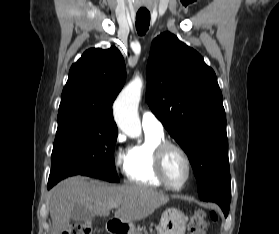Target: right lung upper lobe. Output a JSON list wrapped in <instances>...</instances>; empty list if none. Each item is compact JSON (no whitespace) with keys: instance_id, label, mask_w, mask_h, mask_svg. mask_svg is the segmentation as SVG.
Masks as SVG:
<instances>
[{"instance_id":"1","label":"right lung upper lobe","mask_w":279,"mask_h":234,"mask_svg":"<svg viewBox=\"0 0 279 234\" xmlns=\"http://www.w3.org/2000/svg\"><path fill=\"white\" fill-rule=\"evenodd\" d=\"M126 78L124 59L116 47L91 48L71 66L63 89L58 116L78 114L116 128L112 114L114 99Z\"/></svg>"}]
</instances>
